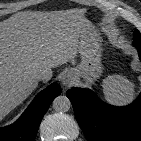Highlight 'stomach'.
I'll return each mask as SVG.
<instances>
[{
    "label": "stomach",
    "mask_w": 141,
    "mask_h": 141,
    "mask_svg": "<svg viewBox=\"0 0 141 141\" xmlns=\"http://www.w3.org/2000/svg\"><path fill=\"white\" fill-rule=\"evenodd\" d=\"M78 51L81 62L72 70L86 85H91L102 75L100 37L93 27L81 35Z\"/></svg>",
    "instance_id": "stomach-1"
}]
</instances>
